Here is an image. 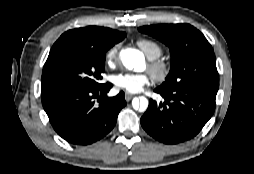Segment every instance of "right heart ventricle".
Listing matches in <instances>:
<instances>
[{"label":"right heart ventricle","mask_w":254,"mask_h":174,"mask_svg":"<svg viewBox=\"0 0 254 174\" xmlns=\"http://www.w3.org/2000/svg\"><path fill=\"white\" fill-rule=\"evenodd\" d=\"M137 45L145 53L149 60L157 59L163 53L162 46L152 39L140 38L137 40Z\"/></svg>","instance_id":"1"}]
</instances>
